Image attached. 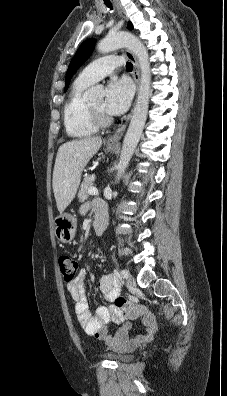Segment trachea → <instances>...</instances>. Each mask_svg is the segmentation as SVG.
I'll return each instance as SVG.
<instances>
[{
  "label": "trachea",
  "instance_id": "1",
  "mask_svg": "<svg viewBox=\"0 0 227 396\" xmlns=\"http://www.w3.org/2000/svg\"><path fill=\"white\" fill-rule=\"evenodd\" d=\"M105 4L107 5V7H109L110 9H112V4L109 0H104ZM126 69L131 71L133 69V64L131 62H127L126 63Z\"/></svg>",
  "mask_w": 227,
  "mask_h": 396
}]
</instances>
